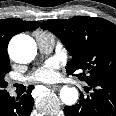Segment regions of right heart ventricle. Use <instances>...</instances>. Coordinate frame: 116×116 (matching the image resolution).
<instances>
[{
    "label": "right heart ventricle",
    "mask_w": 116,
    "mask_h": 116,
    "mask_svg": "<svg viewBox=\"0 0 116 116\" xmlns=\"http://www.w3.org/2000/svg\"><path fill=\"white\" fill-rule=\"evenodd\" d=\"M35 35L38 37H47V38H55L54 35L48 31H36Z\"/></svg>",
    "instance_id": "1"
}]
</instances>
